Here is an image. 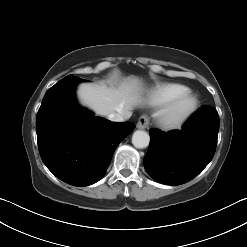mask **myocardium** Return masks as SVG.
<instances>
[{"label":"myocardium","instance_id":"obj_1","mask_svg":"<svg viewBox=\"0 0 247 247\" xmlns=\"http://www.w3.org/2000/svg\"><path fill=\"white\" fill-rule=\"evenodd\" d=\"M199 106L198 96L185 91L169 101L158 114L159 126L164 130H176L184 126Z\"/></svg>","mask_w":247,"mask_h":247}]
</instances>
